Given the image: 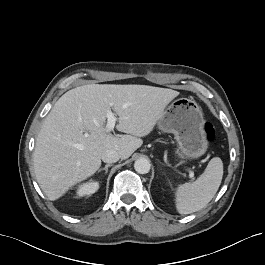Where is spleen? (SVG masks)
I'll use <instances>...</instances> for the list:
<instances>
[{
	"label": "spleen",
	"instance_id": "1",
	"mask_svg": "<svg viewBox=\"0 0 265 265\" xmlns=\"http://www.w3.org/2000/svg\"><path fill=\"white\" fill-rule=\"evenodd\" d=\"M222 177V160L219 157H214L194 182L184 183L176 188L177 211L180 214H190L206 207L219 189Z\"/></svg>",
	"mask_w": 265,
	"mask_h": 265
}]
</instances>
